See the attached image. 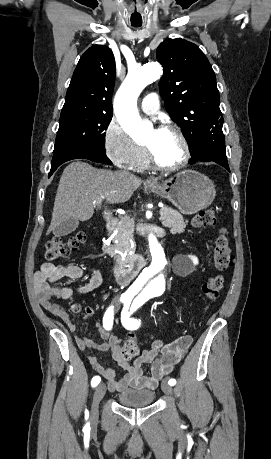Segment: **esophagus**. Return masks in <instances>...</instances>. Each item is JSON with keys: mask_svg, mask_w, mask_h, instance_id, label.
Masks as SVG:
<instances>
[{"mask_svg": "<svg viewBox=\"0 0 271 459\" xmlns=\"http://www.w3.org/2000/svg\"><path fill=\"white\" fill-rule=\"evenodd\" d=\"M147 185H157L158 180L154 177H150L149 179L146 180L145 182Z\"/></svg>", "mask_w": 271, "mask_h": 459, "instance_id": "obj_1", "label": "esophagus"}]
</instances>
